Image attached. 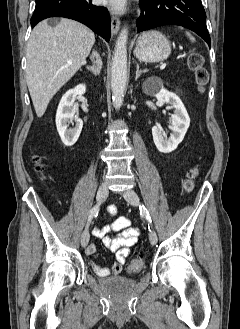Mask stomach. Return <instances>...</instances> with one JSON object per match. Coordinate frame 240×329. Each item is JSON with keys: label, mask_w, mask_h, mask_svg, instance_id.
<instances>
[{"label": "stomach", "mask_w": 240, "mask_h": 329, "mask_svg": "<svg viewBox=\"0 0 240 329\" xmlns=\"http://www.w3.org/2000/svg\"><path fill=\"white\" fill-rule=\"evenodd\" d=\"M171 53L170 41L158 31L142 33L136 42L135 57L143 62L154 63L163 61Z\"/></svg>", "instance_id": "stomach-1"}]
</instances>
